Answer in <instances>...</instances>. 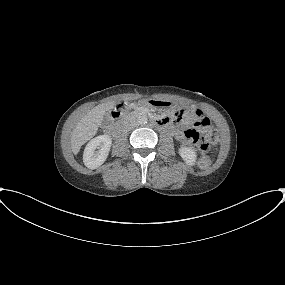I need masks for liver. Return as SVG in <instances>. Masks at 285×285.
<instances>
[{
	"label": "liver",
	"mask_w": 285,
	"mask_h": 285,
	"mask_svg": "<svg viewBox=\"0 0 285 285\" xmlns=\"http://www.w3.org/2000/svg\"><path fill=\"white\" fill-rule=\"evenodd\" d=\"M115 105V102L99 104L78 122L71 135V148L74 154H77L81 146L97 133L104 115Z\"/></svg>",
	"instance_id": "obj_1"
}]
</instances>
